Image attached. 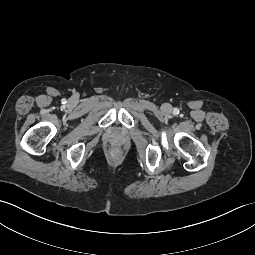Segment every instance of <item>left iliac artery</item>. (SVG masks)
<instances>
[{
  "instance_id": "44dca946",
  "label": "left iliac artery",
  "mask_w": 255,
  "mask_h": 255,
  "mask_svg": "<svg viewBox=\"0 0 255 255\" xmlns=\"http://www.w3.org/2000/svg\"><path fill=\"white\" fill-rule=\"evenodd\" d=\"M179 111L178 109H174V113L177 114Z\"/></svg>"
}]
</instances>
